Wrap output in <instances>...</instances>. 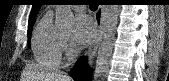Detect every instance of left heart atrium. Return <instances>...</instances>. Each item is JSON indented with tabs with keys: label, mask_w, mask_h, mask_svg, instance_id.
<instances>
[{
	"label": "left heart atrium",
	"mask_w": 169,
	"mask_h": 81,
	"mask_svg": "<svg viewBox=\"0 0 169 81\" xmlns=\"http://www.w3.org/2000/svg\"><path fill=\"white\" fill-rule=\"evenodd\" d=\"M94 25L88 15L79 14L74 21L72 42L76 47L85 46L93 36Z\"/></svg>",
	"instance_id": "left-heart-atrium-1"
}]
</instances>
